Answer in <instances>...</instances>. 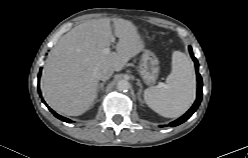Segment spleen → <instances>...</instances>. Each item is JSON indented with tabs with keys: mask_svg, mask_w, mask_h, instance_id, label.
<instances>
[{
	"mask_svg": "<svg viewBox=\"0 0 248 158\" xmlns=\"http://www.w3.org/2000/svg\"><path fill=\"white\" fill-rule=\"evenodd\" d=\"M196 95L194 68L188 57L180 52L172 54V70L161 88H148L144 92L146 104L156 113L174 118L184 114Z\"/></svg>",
	"mask_w": 248,
	"mask_h": 158,
	"instance_id": "spleen-1",
	"label": "spleen"
}]
</instances>
